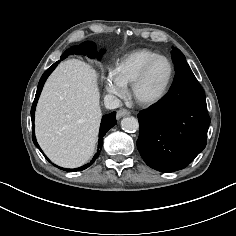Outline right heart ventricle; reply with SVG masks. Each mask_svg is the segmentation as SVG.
<instances>
[{
    "instance_id": "e07e8e85",
    "label": "right heart ventricle",
    "mask_w": 236,
    "mask_h": 236,
    "mask_svg": "<svg viewBox=\"0 0 236 236\" xmlns=\"http://www.w3.org/2000/svg\"><path fill=\"white\" fill-rule=\"evenodd\" d=\"M159 54L147 48L135 49L120 57L114 64L112 73L125 87L132 84L142 67Z\"/></svg>"
}]
</instances>
